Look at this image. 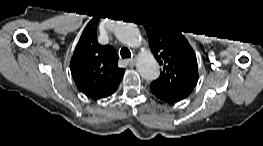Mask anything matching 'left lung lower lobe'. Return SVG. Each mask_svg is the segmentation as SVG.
I'll return each mask as SVG.
<instances>
[{
  "mask_svg": "<svg viewBox=\"0 0 263 146\" xmlns=\"http://www.w3.org/2000/svg\"><path fill=\"white\" fill-rule=\"evenodd\" d=\"M151 92L159 99L163 100L164 102L167 103H175L178 102L179 100L173 98L170 96L168 93H166L159 85L157 84H151L150 86Z\"/></svg>",
  "mask_w": 263,
  "mask_h": 146,
  "instance_id": "left-lung-lower-lobe-1",
  "label": "left lung lower lobe"
}]
</instances>
